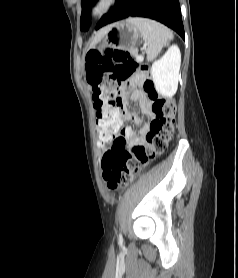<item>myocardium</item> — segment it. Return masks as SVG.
I'll return each mask as SVG.
<instances>
[{"label":"myocardium","instance_id":"myocardium-1","mask_svg":"<svg viewBox=\"0 0 238 278\" xmlns=\"http://www.w3.org/2000/svg\"><path fill=\"white\" fill-rule=\"evenodd\" d=\"M117 3V0H95L90 8V15L95 18H101L109 13Z\"/></svg>","mask_w":238,"mask_h":278}]
</instances>
